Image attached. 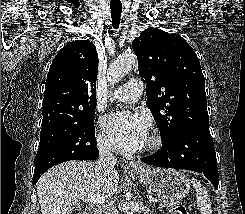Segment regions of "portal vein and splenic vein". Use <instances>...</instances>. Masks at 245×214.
Instances as JSON below:
<instances>
[{
    "label": "portal vein and splenic vein",
    "instance_id": "1",
    "mask_svg": "<svg viewBox=\"0 0 245 214\" xmlns=\"http://www.w3.org/2000/svg\"><path fill=\"white\" fill-rule=\"evenodd\" d=\"M82 201H85V202H89V203H93V204H96V205H103L105 203H108L109 201L106 200L105 198L103 197H96L92 194H88V195H81L79 197ZM147 198L152 201V202H158L157 199L153 198L152 196H147Z\"/></svg>",
    "mask_w": 245,
    "mask_h": 214
}]
</instances>
